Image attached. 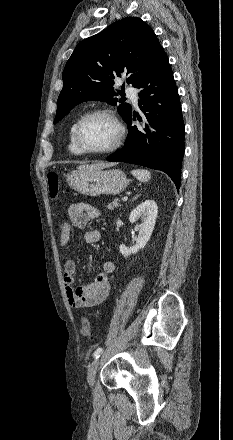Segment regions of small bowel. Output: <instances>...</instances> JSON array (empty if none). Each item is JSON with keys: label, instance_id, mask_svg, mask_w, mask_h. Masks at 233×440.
Wrapping results in <instances>:
<instances>
[{"label": "small bowel", "instance_id": "obj_1", "mask_svg": "<svg viewBox=\"0 0 233 440\" xmlns=\"http://www.w3.org/2000/svg\"><path fill=\"white\" fill-rule=\"evenodd\" d=\"M100 217V212L94 206L78 202L68 209V218L62 224L60 244L66 246L71 238L74 228L84 229L92 219ZM84 241L88 244H96L100 240V232L89 229L84 233ZM76 261L68 259L64 264L63 281L68 303L74 308H90L104 303L110 295L109 275L114 272V263L105 261L92 282L74 288V276Z\"/></svg>", "mask_w": 233, "mask_h": 440}]
</instances>
